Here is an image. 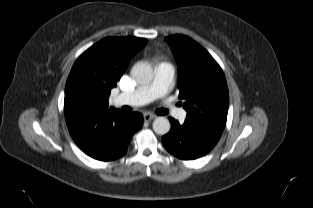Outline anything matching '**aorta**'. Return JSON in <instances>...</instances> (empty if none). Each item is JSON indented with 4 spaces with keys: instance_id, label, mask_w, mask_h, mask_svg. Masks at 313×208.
<instances>
[{
    "instance_id": "obj_1",
    "label": "aorta",
    "mask_w": 313,
    "mask_h": 208,
    "mask_svg": "<svg viewBox=\"0 0 313 208\" xmlns=\"http://www.w3.org/2000/svg\"><path fill=\"white\" fill-rule=\"evenodd\" d=\"M131 75L140 85L152 82L154 73L152 67L147 63H137L131 69ZM153 130L156 134L165 135L170 131L171 124L165 117H158L153 122Z\"/></svg>"
}]
</instances>
